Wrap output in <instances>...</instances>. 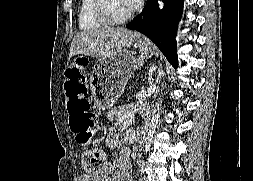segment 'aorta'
I'll list each match as a JSON object with an SVG mask.
<instances>
[{
  "label": "aorta",
  "mask_w": 253,
  "mask_h": 181,
  "mask_svg": "<svg viewBox=\"0 0 253 181\" xmlns=\"http://www.w3.org/2000/svg\"><path fill=\"white\" fill-rule=\"evenodd\" d=\"M159 9L162 10L164 8L163 0H158Z\"/></svg>",
  "instance_id": "762f6f07"
}]
</instances>
